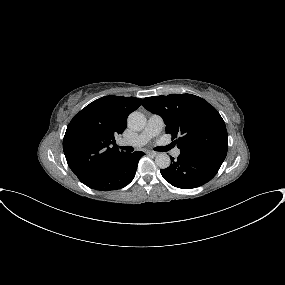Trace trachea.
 I'll return each mask as SVG.
<instances>
[{"label": "trachea", "instance_id": "obj_1", "mask_svg": "<svg viewBox=\"0 0 285 285\" xmlns=\"http://www.w3.org/2000/svg\"><path fill=\"white\" fill-rule=\"evenodd\" d=\"M120 149L132 152L134 149L131 146H120ZM160 148H155L156 151H166L168 147H163L162 150Z\"/></svg>", "mask_w": 285, "mask_h": 285}]
</instances>
